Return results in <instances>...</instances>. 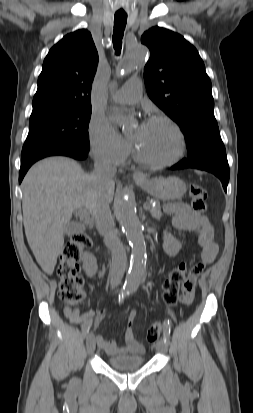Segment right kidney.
Instances as JSON below:
<instances>
[{
    "label": "right kidney",
    "mask_w": 253,
    "mask_h": 413,
    "mask_svg": "<svg viewBox=\"0 0 253 413\" xmlns=\"http://www.w3.org/2000/svg\"><path fill=\"white\" fill-rule=\"evenodd\" d=\"M83 269L88 277H93L98 269L96 258L88 252L83 254Z\"/></svg>",
    "instance_id": "obj_1"
}]
</instances>
